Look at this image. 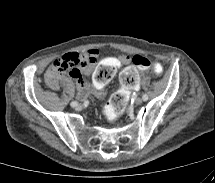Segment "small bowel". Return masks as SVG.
Segmentation results:
<instances>
[{
  "label": "small bowel",
  "instance_id": "c3829d8e",
  "mask_svg": "<svg viewBox=\"0 0 215 183\" xmlns=\"http://www.w3.org/2000/svg\"><path fill=\"white\" fill-rule=\"evenodd\" d=\"M100 56L101 52L98 48H89L81 53H67L63 55L60 59L54 61L47 69L45 73L47 85L51 89L58 90L60 82L67 83L71 79H74L81 98H86L91 93L97 97H103L106 93L105 85L110 78L123 70L124 64L130 62V57L128 55H121L120 57L113 55L102 60L99 66L95 68ZM59 61L75 62L76 66L68 73H57L54 70V65ZM92 71L93 73L89 77L88 83H86L83 79V75H88ZM131 89L138 90L139 86L137 85Z\"/></svg>",
  "mask_w": 215,
  "mask_h": 183
}]
</instances>
